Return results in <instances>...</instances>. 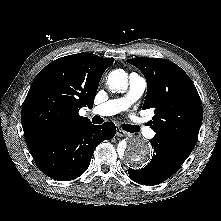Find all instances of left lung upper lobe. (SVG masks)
<instances>
[{
	"label": "left lung upper lobe",
	"instance_id": "obj_1",
	"mask_svg": "<svg viewBox=\"0 0 221 221\" xmlns=\"http://www.w3.org/2000/svg\"><path fill=\"white\" fill-rule=\"evenodd\" d=\"M128 63L136 66L147 81V96L142 109L153 108L150 121L161 138L192 151L203 119L199 94L183 69L162 58H133Z\"/></svg>",
	"mask_w": 221,
	"mask_h": 221
}]
</instances>
